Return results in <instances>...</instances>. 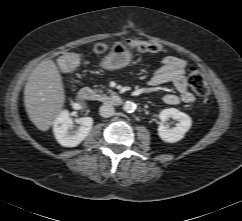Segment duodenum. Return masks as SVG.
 Returning a JSON list of instances; mask_svg holds the SVG:
<instances>
[{
  "mask_svg": "<svg viewBox=\"0 0 242 221\" xmlns=\"http://www.w3.org/2000/svg\"><path fill=\"white\" fill-rule=\"evenodd\" d=\"M78 96L85 101H97L99 99L98 93L91 87H83L78 91ZM107 102L110 105L118 106L122 103V98L119 96L110 97Z\"/></svg>",
  "mask_w": 242,
  "mask_h": 221,
  "instance_id": "410a0bca",
  "label": "duodenum"
}]
</instances>
